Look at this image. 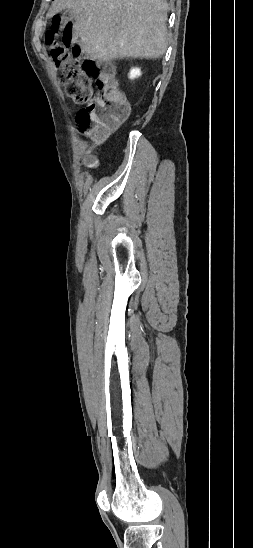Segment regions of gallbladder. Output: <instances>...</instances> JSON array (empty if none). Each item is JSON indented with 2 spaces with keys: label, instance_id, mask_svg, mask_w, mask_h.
I'll list each match as a JSON object with an SVG mask.
<instances>
[{
  "label": "gallbladder",
  "instance_id": "1",
  "mask_svg": "<svg viewBox=\"0 0 253 548\" xmlns=\"http://www.w3.org/2000/svg\"><path fill=\"white\" fill-rule=\"evenodd\" d=\"M63 20H73L74 19V15L72 13L71 10L67 9L65 10V12L63 13V16H62Z\"/></svg>",
  "mask_w": 253,
  "mask_h": 548
}]
</instances>
